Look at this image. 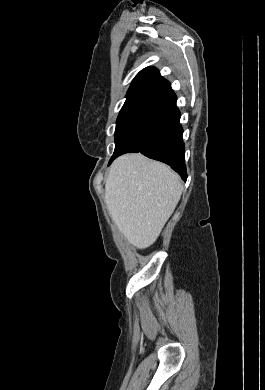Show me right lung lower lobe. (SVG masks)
<instances>
[{"label": "right lung lower lobe", "instance_id": "1", "mask_svg": "<svg viewBox=\"0 0 265 390\" xmlns=\"http://www.w3.org/2000/svg\"><path fill=\"white\" fill-rule=\"evenodd\" d=\"M179 121L176 95L170 91L153 101L128 126L116 144L109 165L124 153L141 152L151 159L168 164L186 181L185 146Z\"/></svg>", "mask_w": 265, "mask_h": 390}]
</instances>
